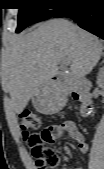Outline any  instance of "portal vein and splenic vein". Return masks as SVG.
Masks as SVG:
<instances>
[{
    "mask_svg": "<svg viewBox=\"0 0 104 169\" xmlns=\"http://www.w3.org/2000/svg\"><path fill=\"white\" fill-rule=\"evenodd\" d=\"M62 65H68L69 64V62L68 61H66V60H62Z\"/></svg>",
    "mask_w": 104,
    "mask_h": 169,
    "instance_id": "18ae733b",
    "label": "portal vein and splenic vein"
}]
</instances>
